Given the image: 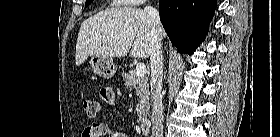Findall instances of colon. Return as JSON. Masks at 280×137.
<instances>
[{"label": "colon", "mask_w": 280, "mask_h": 137, "mask_svg": "<svg viewBox=\"0 0 280 137\" xmlns=\"http://www.w3.org/2000/svg\"><path fill=\"white\" fill-rule=\"evenodd\" d=\"M102 98L105 102H110L115 100V93L107 90L102 91ZM83 110L85 113L90 116L94 117L99 112V104L95 100L85 99L83 100ZM99 133H93L90 137H99Z\"/></svg>", "instance_id": "5ec220e1"}]
</instances>
